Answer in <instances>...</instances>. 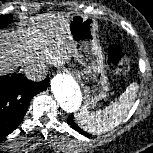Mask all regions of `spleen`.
<instances>
[{
  "mask_svg": "<svg viewBox=\"0 0 153 153\" xmlns=\"http://www.w3.org/2000/svg\"><path fill=\"white\" fill-rule=\"evenodd\" d=\"M138 85H129L119 100L103 110L91 112L83 107L77 116L81 128L93 134H101L117 127L134 104Z\"/></svg>",
  "mask_w": 153,
  "mask_h": 153,
  "instance_id": "obj_1",
  "label": "spleen"
}]
</instances>
